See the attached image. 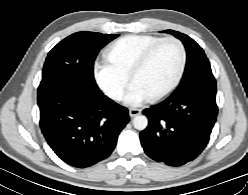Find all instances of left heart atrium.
Masks as SVG:
<instances>
[{"instance_id":"1","label":"left heart atrium","mask_w":248,"mask_h":195,"mask_svg":"<svg viewBox=\"0 0 248 195\" xmlns=\"http://www.w3.org/2000/svg\"><path fill=\"white\" fill-rule=\"evenodd\" d=\"M130 97L135 104H140L145 100L144 94L139 92L131 93Z\"/></svg>"}]
</instances>
